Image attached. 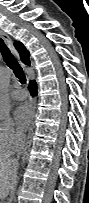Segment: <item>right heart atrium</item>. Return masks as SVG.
Returning a JSON list of instances; mask_svg holds the SVG:
<instances>
[{
    "label": "right heart atrium",
    "mask_w": 89,
    "mask_h": 203,
    "mask_svg": "<svg viewBox=\"0 0 89 203\" xmlns=\"http://www.w3.org/2000/svg\"><path fill=\"white\" fill-rule=\"evenodd\" d=\"M24 142V136L16 129L10 118L0 120V143L9 152H14Z\"/></svg>",
    "instance_id": "d8ad5b80"
}]
</instances>
